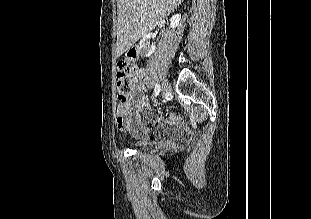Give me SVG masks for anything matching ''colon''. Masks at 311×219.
<instances>
[{
  "label": "colon",
  "instance_id": "obj_1",
  "mask_svg": "<svg viewBox=\"0 0 311 219\" xmlns=\"http://www.w3.org/2000/svg\"><path fill=\"white\" fill-rule=\"evenodd\" d=\"M137 75L136 67L131 63L128 59H120L116 64V81H117V89L119 93V104H126L129 100L130 94L132 93L135 79ZM155 127H152V130ZM167 129L162 125L161 131ZM177 134V133H176ZM179 135V134H177ZM181 136V135H180ZM183 137V136H181ZM185 138V137H183ZM159 136L152 135L150 140H158ZM186 142L184 139H179L176 143L182 144Z\"/></svg>",
  "mask_w": 311,
  "mask_h": 219
}]
</instances>
